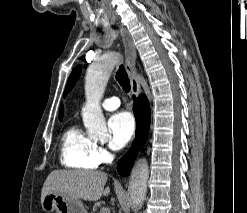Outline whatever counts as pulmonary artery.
<instances>
[{
  "label": "pulmonary artery",
  "mask_w": 247,
  "mask_h": 213,
  "mask_svg": "<svg viewBox=\"0 0 247 213\" xmlns=\"http://www.w3.org/2000/svg\"><path fill=\"white\" fill-rule=\"evenodd\" d=\"M120 106V99L118 97H109L102 102V107L105 110H115Z\"/></svg>",
  "instance_id": "pulmonary-artery-1"
}]
</instances>
